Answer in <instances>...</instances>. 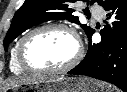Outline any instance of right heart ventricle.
I'll return each mask as SVG.
<instances>
[{
	"instance_id": "1",
	"label": "right heart ventricle",
	"mask_w": 127,
	"mask_h": 92,
	"mask_svg": "<svg viewBox=\"0 0 127 92\" xmlns=\"http://www.w3.org/2000/svg\"><path fill=\"white\" fill-rule=\"evenodd\" d=\"M20 41V40H19ZM19 41L15 44L11 51L9 67L14 74H24L26 71L19 65L17 60V46Z\"/></svg>"
}]
</instances>
